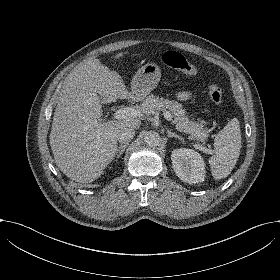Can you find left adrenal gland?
Segmentation results:
<instances>
[{
	"instance_id": "obj_1",
	"label": "left adrenal gland",
	"mask_w": 280,
	"mask_h": 280,
	"mask_svg": "<svg viewBox=\"0 0 280 280\" xmlns=\"http://www.w3.org/2000/svg\"><path fill=\"white\" fill-rule=\"evenodd\" d=\"M166 132H167V136H168L169 138H171V137H176V138L181 139V140L184 139V137L181 136V135H179L177 132H172L171 130H167Z\"/></svg>"
}]
</instances>
